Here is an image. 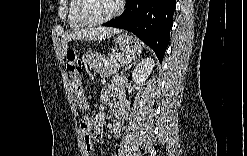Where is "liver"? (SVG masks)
Listing matches in <instances>:
<instances>
[{"label":"liver","mask_w":247,"mask_h":156,"mask_svg":"<svg viewBox=\"0 0 247 156\" xmlns=\"http://www.w3.org/2000/svg\"><path fill=\"white\" fill-rule=\"evenodd\" d=\"M121 30L112 27H94L82 29L79 31H74L67 34L63 40V50L64 54L67 51L68 42L71 40H94L100 41L106 38H110L113 35L120 33Z\"/></svg>","instance_id":"1"}]
</instances>
